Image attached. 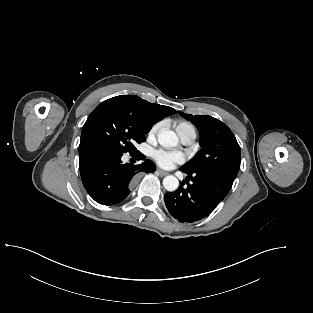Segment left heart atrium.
<instances>
[{
  "label": "left heart atrium",
  "instance_id": "left-heart-atrium-1",
  "mask_svg": "<svg viewBox=\"0 0 313 313\" xmlns=\"http://www.w3.org/2000/svg\"><path fill=\"white\" fill-rule=\"evenodd\" d=\"M153 158L159 166L166 169H170L176 164H180L185 161V155L182 152L168 151L164 149L155 150L153 152Z\"/></svg>",
  "mask_w": 313,
  "mask_h": 313
}]
</instances>
